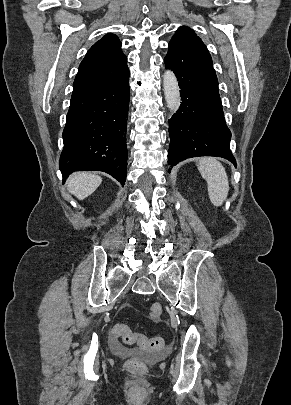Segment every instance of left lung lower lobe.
Here are the masks:
<instances>
[{"instance_id": "obj_1", "label": "left lung lower lobe", "mask_w": 291, "mask_h": 405, "mask_svg": "<svg viewBox=\"0 0 291 405\" xmlns=\"http://www.w3.org/2000/svg\"><path fill=\"white\" fill-rule=\"evenodd\" d=\"M168 48L165 66L175 73L182 100L177 113L169 119L168 164L174 166L190 157L217 156L236 166L230 150L231 132L225 123L218 80L207 48L183 39H171Z\"/></svg>"}]
</instances>
